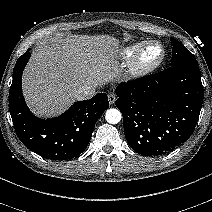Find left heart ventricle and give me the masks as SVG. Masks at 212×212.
Segmentation results:
<instances>
[{
  "label": "left heart ventricle",
  "instance_id": "b2bd125f",
  "mask_svg": "<svg viewBox=\"0 0 212 212\" xmlns=\"http://www.w3.org/2000/svg\"><path fill=\"white\" fill-rule=\"evenodd\" d=\"M160 50L158 47H151L145 54L144 60L145 61H150L159 56Z\"/></svg>",
  "mask_w": 212,
  "mask_h": 212
}]
</instances>
